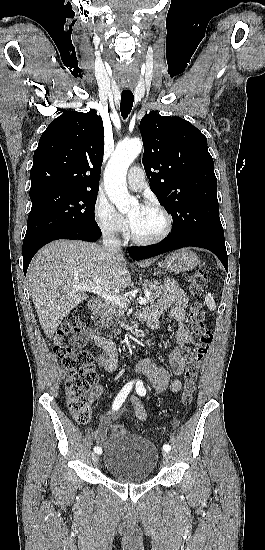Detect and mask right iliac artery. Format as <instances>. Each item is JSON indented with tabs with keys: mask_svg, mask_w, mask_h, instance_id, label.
I'll use <instances>...</instances> for the list:
<instances>
[{
	"mask_svg": "<svg viewBox=\"0 0 265 550\" xmlns=\"http://www.w3.org/2000/svg\"><path fill=\"white\" fill-rule=\"evenodd\" d=\"M133 385H134V381H131V382H128L122 389L121 391L118 393V395L116 396L113 404H112V409L113 410H117L121 407V405L123 404V402L125 401L126 397L128 396V394L130 393V391L132 390L133 388ZM94 451L97 453V454H101L102 452V449L101 447L97 446V447H94Z\"/></svg>",
	"mask_w": 265,
	"mask_h": 550,
	"instance_id": "right-iliac-artery-1",
	"label": "right iliac artery"
}]
</instances>
